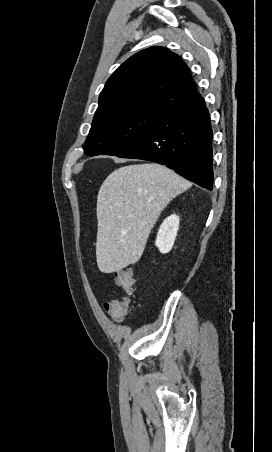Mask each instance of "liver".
Instances as JSON below:
<instances>
[{
  "label": "liver",
  "instance_id": "6515ba94",
  "mask_svg": "<svg viewBox=\"0 0 272 452\" xmlns=\"http://www.w3.org/2000/svg\"><path fill=\"white\" fill-rule=\"evenodd\" d=\"M190 186L156 163L128 165L109 174L97 196L99 270L112 273L138 262L161 212Z\"/></svg>",
  "mask_w": 272,
  "mask_h": 452
}]
</instances>
